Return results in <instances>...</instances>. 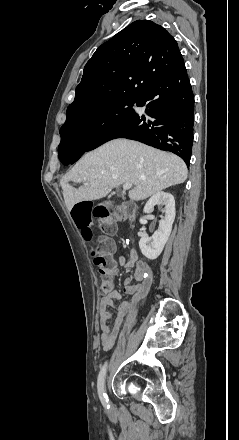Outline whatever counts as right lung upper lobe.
Instances as JSON below:
<instances>
[{
	"instance_id": "1",
	"label": "right lung upper lobe",
	"mask_w": 239,
	"mask_h": 440,
	"mask_svg": "<svg viewBox=\"0 0 239 440\" xmlns=\"http://www.w3.org/2000/svg\"><path fill=\"white\" fill-rule=\"evenodd\" d=\"M181 59L176 40L162 26L148 20L131 23L87 62L67 119L116 97L139 98Z\"/></svg>"
}]
</instances>
